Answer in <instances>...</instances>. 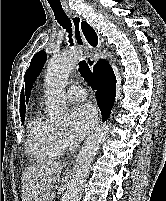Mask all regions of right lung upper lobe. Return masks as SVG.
<instances>
[{
	"label": "right lung upper lobe",
	"mask_w": 166,
	"mask_h": 201,
	"mask_svg": "<svg viewBox=\"0 0 166 201\" xmlns=\"http://www.w3.org/2000/svg\"><path fill=\"white\" fill-rule=\"evenodd\" d=\"M81 28L83 31V34L85 35L86 39L88 40V42L92 45V46H96L98 43V38L97 35L95 33V31L93 30L92 27H90L86 22H82L81 23ZM104 60H99L97 62V64L94 66V73L98 71V69L100 68L101 63ZM25 111H26V107L24 104V94H23V90L20 96V114H21V118H25Z\"/></svg>",
	"instance_id": "cb5924a9"
}]
</instances>
